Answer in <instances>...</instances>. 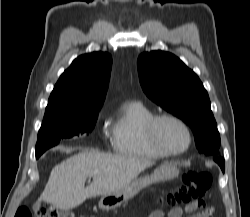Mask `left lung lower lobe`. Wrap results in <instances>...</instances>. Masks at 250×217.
<instances>
[{
    "instance_id": "1",
    "label": "left lung lower lobe",
    "mask_w": 250,
    "mask_h": 217,
    "mask_svg": "<svg viewBox=\"0 0 250 217\" xmlns=\"http://www.w3.org/2000/svg\"><path fill=\"white\" fill-rule=\"evenodd\" d=\"M214 160L219 164V166L221 167L222 171L224 172V170H225L224 159L220 155H218V156H214Z\"/></svg>"
}]
</instances>
